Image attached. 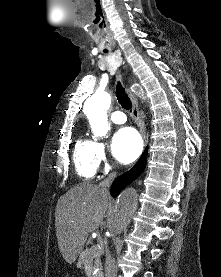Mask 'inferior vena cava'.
<instances>
[{"label": "inferior vena cava", "instance_id": "1", "mask_svg": "<svg viewBox=\"0 0 221 277\" xmlns=\"http://www.w3.org/2000/svg\"><path fill=\"white\" fill-rule=\"evenodd\" d=\"M116 177V172H112L109 176L103 180L99 187L105 193H108V188L112 184L114 178ZM117 276V265L115 259L111 256L110 251H106V263H105V277H116Z\"/></svg>", "mask_w": 221, "mask_h": 277}]
</instances>
